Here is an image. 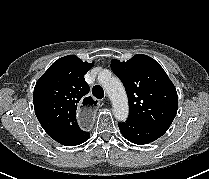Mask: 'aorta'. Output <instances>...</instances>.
Here are the masks:
<instances>
[{
  "label": "aorta",
  "mask_w": 209,
  "mask_h": 179,
  "mask_svg": "<svg viewBox=\"0 0 209 179\" xmlns=\"http://www.w3.org/2000/svg\"><path fill=\"white\" fill-rule=\"evenodd\" d=\"M98 80L112 102L115 118L118 121H126L129 107L127 94L122 82L107 70L99 74Z\"/></svg>",
  "instance_id": "762f6f07"
}]
</instances>
